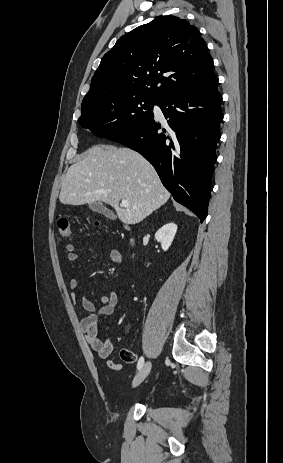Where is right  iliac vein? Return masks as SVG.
I'll return each instance as SVG.
<instances>
[{
	"label": "right iliac vein",
	"mask_w": 283,
	"mask_h": 463,
	"mask_svg": "<svg viewBox=\"0 0 283 463\" xmlns=\"http://www.w3.org/2000/svg\"><path fill=\"white\" fill-rule=\"evenodd\" d=\"M152 364L147 361L133 379V387L140 385L151 371Z\"/></svg>",
	"instance_id": "right-iliac-vein-1"
}]
</instances>
